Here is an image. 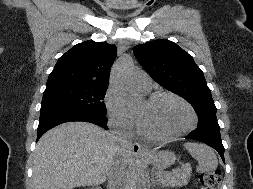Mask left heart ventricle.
<instances>
[{"label":"left heart ventricle","mask_w":253,"mask_h":189,"mask_svg":"<svg viewBox=\"0 0 253 189\" xmlns=\"http://www.w3.org/2000/svg\"><path fill=\"white\" fill-rule=\"evenodd\" d=\"M137 114L142 129L155 136L172 135L185 128L191 120L187 108L170 98L144 102Z\"/></svg>","instance_id":"obj_1"}]
</instances>
